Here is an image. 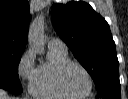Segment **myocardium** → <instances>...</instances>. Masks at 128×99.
I'll list each match as a JSON object with an SVG mask.
<instances>
[{
    "instance_id": "obj_1",
    "label": "myocardium",
    "mask_w": 128,
    "mask_h": 99,
    "mask_svg": "<svg viewBox=\"0 0 128 99\" xmlns=\"http://www.w3.org/2000/svg\"><path fill=\"white\" fill-rule=\"evenodd\" d=\"M73 65L79 67L85 73V75L87 76V79H88V82H89V87H88L87 92L85 94H83V95H74V94H71L66 89V87L64 85V81H63L64 74H65L66 70L70 66H73ZM56 81H57V85H58V88L60 89V91L63 94H65L67 97H70V98H73V99H84V98L90 96V94L92 93V90H93V79H92V76H91L90 72L88 71V69L83 64H81L78 61L68 60L67 62H65L64 64H62L59 67L58 71H57Z\"/></svg>"
}]
</instances>
